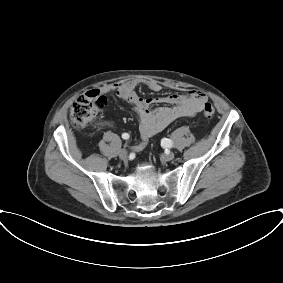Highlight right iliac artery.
Returning <instances> with one entry per match:
<instances>
[{
	"label": "right iliac artery",
	"instance_id": "1",
	"mask_svg": "<svg viewBox=\"0 0 283 283\" xmlns=\"http://www.w3.org/2000/svg\"><path fill=\"white\" fill-rule=\"evenodd\" d=\"M122 138H123V139H128V138H129V135H128L127 133H123V134H122Z\"/></svg>",
	"mask_w": 283,
	"mask_h": 283
}]
</instances>
